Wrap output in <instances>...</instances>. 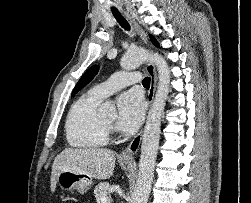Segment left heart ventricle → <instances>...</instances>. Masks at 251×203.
<instances>
[{
    "label": "left heart ventricle",
    "instance_id": "b2bd125f",
    "mask_svg": "<svg viewBox=\"0 0 251 203\" xmlns=\"http://www.w3.org/2000/svg\"><path fill=\"white\" fill-rule=\"evenodd\" d=\"M106 122H108V123H113L114 121H115V115H113V116H111V117H109V118H106V119H104Z\"/></svg>",
    "mask_w": 251,
    "mask_h": 203
}]
</instances>
